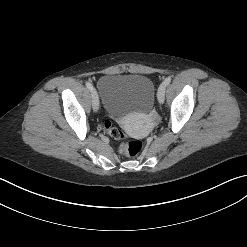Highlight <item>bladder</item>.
<instances>
[{
  "mask_svg": "<svg viewBox=\"0 0 247 247\" xmlns=\"http://www.w3.org/2000/svg\"><path fill=\"white\" fill-rule=\"evenodd\" d=\"M105 111L120 121L131 112H148L153 104L155 88L143 75H106L97 84Z\"/></svg>",
  "mask_w": 247,
  "mask_h": 247,
  "instance_id": "31cf9c89",
  "label": "bladder"
}]
</instances>
